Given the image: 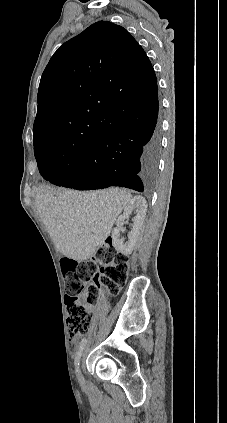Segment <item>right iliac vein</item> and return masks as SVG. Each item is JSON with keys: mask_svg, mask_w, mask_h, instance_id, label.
Masks as SVG:
<instances>
[{"mask_svg": "<svg viewBox=\"0 0 227 423\" xmlns=\"http://www.w3.org/2000/svg\"><path fill=\"white\" fill-rule=\"evenodd\" d=\"M78 378L81 379L82 378V374H81V367H78Z\"/></svg>", "mask_w": 227, "mask_h": 423, "instance_id": "obj_1", "label": "right iliac vein"}]
</instances>
